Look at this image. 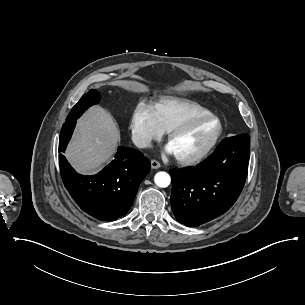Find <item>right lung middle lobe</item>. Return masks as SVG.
Returning a JSON list of instances; mask_svg holds the SVG:
<instances>
[{"mask_svg":"<svg viewBox=\"0 0 305 305\" xmlns=\"http://www.w3.org/2000/svg\"><path fill=\"white\" fill-rule=\"evenodd\" d=\"M99 99V93L96 90H90L88 93L84 94L79 102L73 107L72 111L68 115V119L79 118L87 108L93 104H96Z\"/></svg>","mask_w":305,"mask_h":305,"instance_id":"obj_1","label":"right lung middle lobe"}]
</instances>
